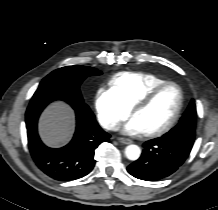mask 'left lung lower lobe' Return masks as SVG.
Returning a JSON list of instances; mask_svg holds the SVG:
<instances>
[{"label":"left lung lower lobe","mask_w":218,"mask_h":210,"mask_svg":"<svg viewBox=\"0 0 218 210\" xmlns=\"http://www.w3.org/2000/svg\"><path fill=\"white\" fill-rule=\"evenodd\" d=\"M176 137H162L146 141L141 157L130 164L127 171L134 177L156 181L171 175L186 160L194 143L191 131L183 130Z\"/></svg>","instance_id":"left-lung-lower-lobe-1"}]
</instances>
